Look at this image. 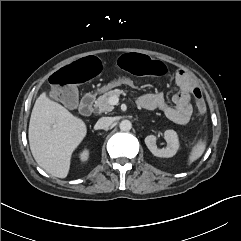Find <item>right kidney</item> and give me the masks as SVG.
<instances>
[{
  "label": "right kidney",
  "instance_id": "right-kidney-1",
  "mask_svg": "<svg viewBox=\"0 0 241 241\" xmlns=\"http://www.w3.org/2000/svg\"><path fill=\"white\" fill-rule=\"evenodd\" d=\"M88 157H89V151L87 149L83 150L79 155V158L82 162L87 161Z\"/></svg>",
  "mask_w": 241,
  "mask_h": 241
}]
</instances>
